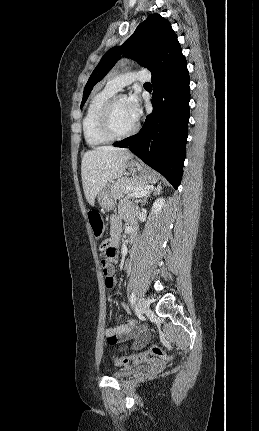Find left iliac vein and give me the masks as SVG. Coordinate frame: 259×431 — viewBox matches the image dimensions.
Wrapping results in <instances>:
<instances>
[{
    "mask_svg": "<svg viewBox=\"0 0 259 431\" xmlns=\"http://www.w3.org/2000/svg\"><path fill=\"white\" fill-rule=\"evenodd\" d=\"M149 308V302L144 297L138 300V310L141 314H144Z\"/></svg>",
    "mask_w": 259,
    "mask_h": 431,
    "instance_id": "4c4485c4",
    "label": "left iliac vein"
}]
</instances>
